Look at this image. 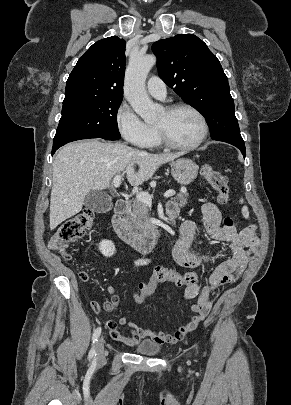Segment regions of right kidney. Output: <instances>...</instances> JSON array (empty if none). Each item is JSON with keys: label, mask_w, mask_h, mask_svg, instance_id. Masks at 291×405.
Instances as JSON below:
<instances>
[{"label": "right kidney", "mask_w": 291, "mask_h": 405, "mask_svg": "<svg viewBox=\"0 0 291 405\" xmlns=\"http://www.w3.org/2000/svg\"><path fill=\"white\" fill-rule=\"evenodd\" d=\"M99 250L105 257L113 256L116 251L114 243L109 240H102L99 243Z\"/></svg>", "instance_id": "ca27d5eb"}]
</instances>
